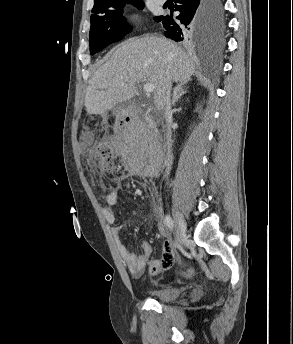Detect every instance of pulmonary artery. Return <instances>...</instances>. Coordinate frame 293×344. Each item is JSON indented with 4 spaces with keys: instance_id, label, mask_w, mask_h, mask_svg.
<instances>
[{
    "instance_id": "1",
    "label": "pulmonary artery",
    "mask_w": 293,
    "mask_h": 344,
    "mask_svg": "<svg viewBox=\"0 0 293 344\" xmlns=\"http://www.w3.org/2000/svg\"><path fill=\"white\" fill-rule=\"evenodd\" d=\"M156 1V3H158V4H164L165 2H166V0H155Z\"/></svg>"
}]
</instances>
